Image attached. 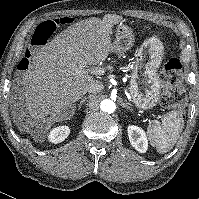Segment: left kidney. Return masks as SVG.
<instances>
[{"label": "left kidney", "mask_w": 199, "mask_h": 199, "mask_svg": "<svg viewBox=\"0 0 199 199\" xmlns=\"http://www.w3.org/2000/svg\"><path fill=\"white\" fill-rule=\"evenodd\" d=\"M127 131L131 145L138 152L145 153L148 149V139L144 130L136 125H129Z\"/></svg>", "instance_id": "5707ae66"}]
</instances>
